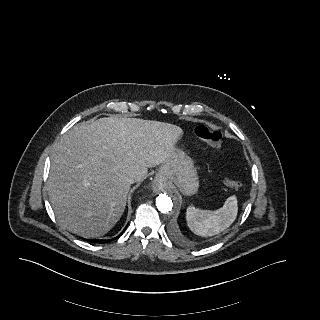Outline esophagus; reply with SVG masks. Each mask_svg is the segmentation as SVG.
Here are the masks:
<instances>
[{
	"mask_svg": "<svg viewBox=\"0 0 320 320\" xmlns=\"http://www.w3.org/2000/svg\"><path fill=\"white\" fill-rule=\"evenodd\" d=\"M153 189L155 191H160L162 189V183L159 179H155L153 182Z\"/></svg>",
	"mask_w": 320,
	"mask_h": 320,
	"instance_id": "34e87169",
	"label": "esophagus"
}]
</instances>
